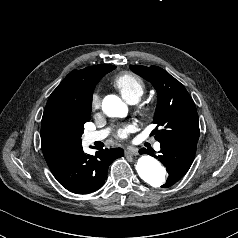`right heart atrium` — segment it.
Masks as SVG:
<instances>
[{
	"label": "right heart atrium",
	"mask_w": 238,
	"mask_h": 238,
	"mask_svg": "<svg viewBox=\"0 0 238 238\" xmlns=\"http://www.w3.org/2000/svg\"><path fill=\"white\" fill-rule=\"evenodd\" d=\"M100 105V98H99V95L94 93L91 97V107L93 109H96L98 108Z\"/></svg>",
	"instance_id": "right-heart-atrium-1"
}]
</instances>
